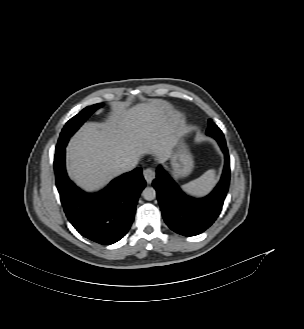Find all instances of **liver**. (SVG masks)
<instances>
[{"label": "liver", "instance_id": "liver-1", "mask_svg": "<svg viewBox=\"0 0 304 329\" xmlns=\"http://www.w3.org/2000/svg\"><path fill=\"white\" fill-rule=\"evenodd\" d=\"M180 116L171 104L154 99L130 109L117 107L102 123L89 122L72 137L67 150L70 178L87 191L98 190L121 170L126 159L170 157Z\"/></svg>", "mask_w": 304, "mask_h": 329}]
</instances>
